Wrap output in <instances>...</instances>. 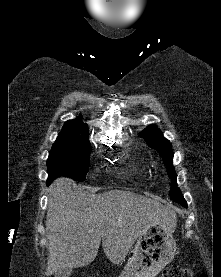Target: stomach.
Returning a JSON list of instances; mask_svg holds the SVG:
<instances>
[{"label":"stomach","instance_id":"stomach-1","mask_svg":"<svg viewBox=\"0 0 221 277\" xmlns=\"http://www.w3.org/2000/svg\"><path fill=\"white\" fill-rule=\"evenodd\" d=\"M176 218L150 224L139 236L133 255L119 277H156L176 253Z\"/></svg>","mask_w":221,"mask_h":277}]
</instances>
